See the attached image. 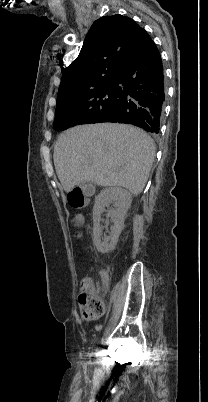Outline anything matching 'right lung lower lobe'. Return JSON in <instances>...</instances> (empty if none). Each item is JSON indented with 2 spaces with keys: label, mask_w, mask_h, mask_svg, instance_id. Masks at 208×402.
I'll use <instances>...</instances> for the list:
<instances>
[{
  "label": "right lung lower lobe",
  "mask_w": 208,
  "mask_h": 402,
  "mask_svg": "<svg viewBox=\"0 0 208 402\" xmlns=\"http://www.w3.org/2000/svg\"><path fill=\"white\" fill-rule=\"evenodd\" d=\"M113 83L117 100L110 111L86 121H62L56 130L86 123L117 122L158 134L165 102L164 73L160 53L148 34Z\"/></svg>",
  "instance_id": "1"
}]
</instances>
